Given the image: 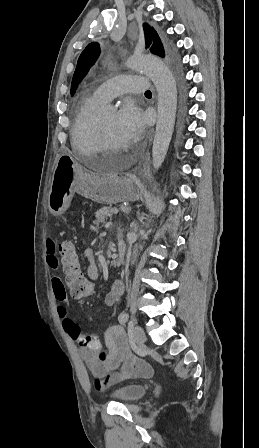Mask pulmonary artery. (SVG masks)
Masks as SVG:
<instances>
[{
    "label": "pulmonary artery",
    "mask_w": 259,
    "mask_h": 448,
    "mask_svg": "<svg viewBox=\"0 0 259 448\" xmlns=\"http://www.w3.org/2000/svg\"><path fill=\"white\" fill-rule=\"evenodd\" d=\"M135 78H136V76H133V75L116 76L112 80L100 85L96 90V94L102 101H104V102L109 101L112 98H114L115 96L122 94L127 90L125 87L115 85L114 82L124 81V80H132Z\"/></svg>",
    "instance_id": "pulmonary-artery-1"
}]
</instances>
